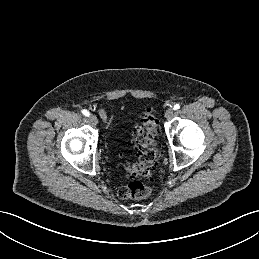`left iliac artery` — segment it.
<instances>
[{"instance_id": "obj_1", "label": "left iliac artery", "mask_w": 259, "mask_h": 259, "mask_svg": "<svg viewBox=\"0 0 259 259\" xmlns=\"http://www.w3.org/2000/svg\"><path fill=\"white\" fill-rule=\"evenodd\" d=\"M179 108H180L179 104H175L174 107H173L174 110H178Z\"/></svg>"}]
</instances>
